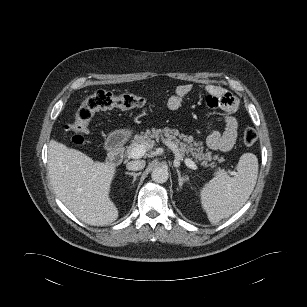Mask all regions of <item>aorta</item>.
I'll use <instances>...</instances> for the list:
<instances>
[{"mask_svg": "<svg viewBox=\"0 0 307 307\" xmlns=\"http://www.w3.org/2000/svg\"><path fill=\"white\" fill-rule=\"evenodd\" d=\"M151 177L156 183H165L168 180L169 173L166 168L156 167L153 169Z\"/></svg>", "mask_w": 307, "mask_h": 307, "instance_id": "obj_1", "label": "aorta"}]
</instances>
